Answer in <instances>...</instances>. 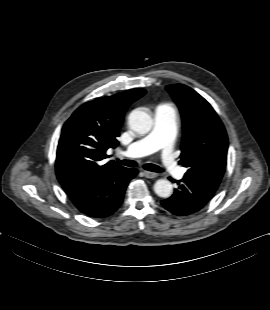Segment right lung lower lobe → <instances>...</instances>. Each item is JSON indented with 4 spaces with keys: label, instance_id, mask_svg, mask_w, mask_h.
I'll return each instance as SVG.
<instances>
[{
    "label": "right lung lower lobe",
    "instance_id": "right-lung-lower-lobe-1",
    "mask_svg": "<svg viewBox=\"0 0 270 310\" xmlns=\"http://www.w3.org/2000/svg\"><path fill=\"white\" fill-rule=\"evenodd\" d=\"M136 169L119 166L110 171L61 183L75 207L93 218L113 214L121 205L129 181Z\"/></svg>",
    "mask_w": 270,
    "mask_h": 310
}]
</instances>
